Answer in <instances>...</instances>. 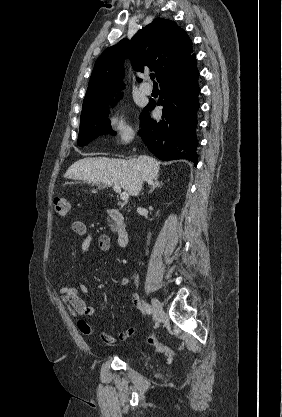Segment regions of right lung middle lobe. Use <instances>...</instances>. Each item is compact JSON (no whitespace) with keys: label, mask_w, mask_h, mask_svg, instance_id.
<instances>
[{"label":"right lung middle lobe","mask_w":282,"mask_h":417,"mask_svg":"<svg viewBox=\"0 0 282 417\" xmlns=\"http://www.w3.org/2000/svg\"><path fill=\"white\" fill-rule=\"evenodd\" d=\"M113 93L98 94L84 98L78 136L79 146L87 145L99 135H115L107 115V107L114 98ZM121 95L122 93L116 95L114 103Z\"/></svg>","instance_id":"dd1d6c3e"}]
</instances>
